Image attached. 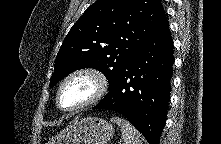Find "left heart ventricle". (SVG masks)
<instances>
[{
    "instance_id": "left-heart-ventricle-1",
    "label": "left heart ventricle",
    "mask_w": 221,
    "mask_h": 144,
    "mask_svg": "<svg viewBox=\"0 0 221 144\" xmlns=\"http://www.w3.org/2000/svg\"><path fill=\"white\" fill-rule=\"evenodd\" d=\"M94 91L95 83L90 77H76L64 86L60 96V104L64 108L76 106L89 99Z\"/></svg>"
}]
</instances>
